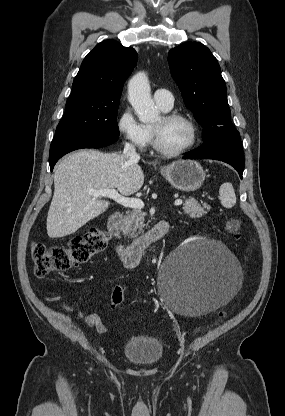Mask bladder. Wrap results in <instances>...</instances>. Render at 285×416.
Masks as SVG:
<instances>
[{"instance_id": "bladder-1", "label": "bladder", "mask_w": 285, "mask_h": 416, "mask_svg": "<svg viewBox=\"0 0 285 416\" xmlns=\"http://www.w3.org/2000/svg\"><path fill=\"white\" fill-rule=\"evenodd\" d=\"M123 354L133 363H152L161 359L164 347L158 337L135 334L125 342Z\"/></svg>"}]
</instances>
